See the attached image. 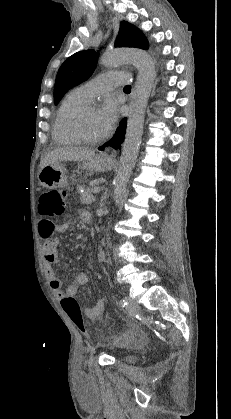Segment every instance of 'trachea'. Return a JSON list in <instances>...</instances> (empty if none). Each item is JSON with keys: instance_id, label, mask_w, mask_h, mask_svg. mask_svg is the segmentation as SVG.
<instances>
[{"instance_id": "1", "label": "trachea", "mask_w": 231, "mask_h": 419, "mask_svg": "<svg viewBox=\"0 0 231 419\" xmlns=\"http://www.w3.org/2000/svg\"><path fill=\"white\" fill-rule=\"evenodd\" d=\"M124 90H131V86H130V85H126V86L124 87Z\"/></svg>"}]
</instances>
